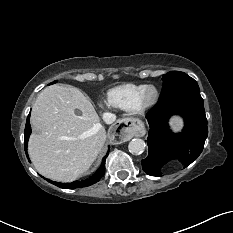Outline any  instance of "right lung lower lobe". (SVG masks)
<instances>
[{"label": "right lung lower lobe", "instance_id": "obj_1", "mask_svg": "<svg viewBox=\"0 0 233 233\" xmlns=\"http://www.w3.org/2000/svg\"><path fill=\"white\" fill-rule=\"evenodd\" d=\"M30 134H31V126H30V114H29L28 117H27L25 132H24V147H25L26 156H27L28 159H29V157H28V153H27V145H28V139H29ZM107 156H108V153L103 158V161H102V164H101L100 168L89 179L82 180V181H74L72 183H58V182H54V181H51V180H48V181L50 183L60 187V188L73 189V188L90 186V185L98 182L100 180V178L104 175V172H105V159H106Z\"/></svg>", "mask_w": 233, "mask_h": 233}]
</instances>
